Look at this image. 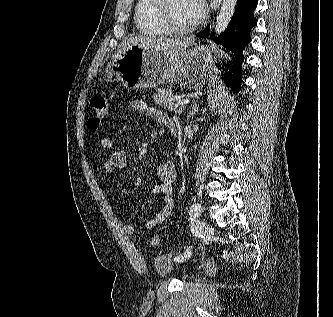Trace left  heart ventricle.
<instances>
[{
    "label": "left heart ventricle",
    "instance_id": "1",
    "mask_svg": "<svg viewBox=\"0 0 333 317\" xmlns=\"http://www.w3.org/2000/svg\"><path fill=\"white\" fill-rule=\"evenodd\" d=\"M171 21L178 27L187 28L196 23L193 0H171L169 6Z\"/></svg>",
    "mask_w": 333,
    "mask_h": 317
}]
</instances>
